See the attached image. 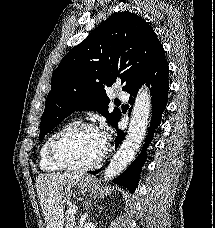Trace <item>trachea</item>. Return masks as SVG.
<instances>
[{"label": "trachea", "instance_id": "trachea-1", "mask_svg": "<svg viewBox=\"0 0 215 228\" xmlns=\"http://www.w3.org/2000/svg\"><path fill=\"white\" fill-rule=\"evenodd\" d=\"M114 102H115V105H120L121 104L120 100H115Z\"/></svg>", "mask_w": 215, "mask_h": 228}]
</instances>
